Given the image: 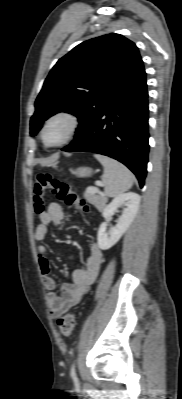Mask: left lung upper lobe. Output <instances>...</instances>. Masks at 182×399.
I'll return each instance as SVG.
<instances>
[{"instance_id": "left-lung-upper-lobe-1", "label": "left lung upper lobe", "mask_w": 182, "mask_h": 399, "mask_svg": "<svg viewBox=\"0 0 182 399\" xmlns=\"http://www.w3.org/2000/svg\"><path fill=\"white\" fill-rule=\"evenodd\" d=\"M143 68L136 45L119 34H107L82 42L54 65L35 101L30 121L34 136L42 123L59 110L77 116L81 137L108 101Z\"/></svg>"}]
</instances>
